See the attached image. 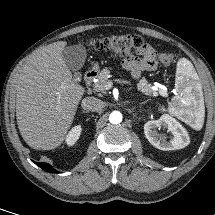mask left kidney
<instances>
[{
	"label": "left kidney",
	"mask_w": 215,
	"mask_h": 215,
	"mask_svg": "<svg viewBox=\"0 0 215 215\" xmlns=\"http://www.w3.org/2000/svg\"><path fill=\"white\" fill-rule=\"evenodd\" d=\"M163 127L172 134L170 141L157 132V128ZM144 133L148 141L156 148L169 151L182 149L189 145L190 138L185 128L172 116L164 114L159 120H151L145 123Z\"/></svg>",
	"instance_id": "5707ae66"
}]
</instances>
